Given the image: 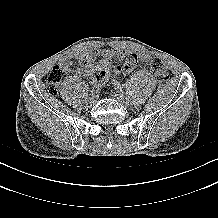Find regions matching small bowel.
I'll list each match as a JSON object with an SVG mask.
<instances>
[{
  "mask_svg": "<svg viewBox=\"0 0 218 218\" xmlns=\"http://www.w3.org/2000/svg\"><path fill=\"white\" fill-rule=\"evenodd\" d=\"M113 58L120 61L126 60L123 66V73L128 74L135 68L139 59L144 64H149L152 56L147 52L135 53L120 48L76 51L62 58L59 61V66L64 71H70L72 59H77L79 61L78 71L95 83L96 76L94 74L111 66Z\"/></svg>",
  "mask_w": 218,
  "mask_h": 218,
  "instance_id": "obj_1",
  "label": "small bowel"
}]
</instances>
